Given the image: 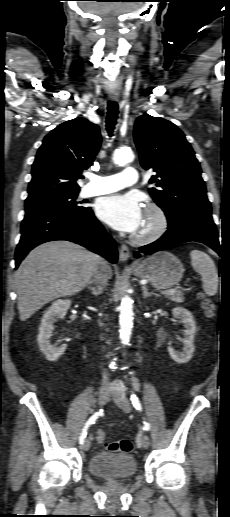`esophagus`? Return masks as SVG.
<instances>
[{
	"label": "esophagus",
	"mask_w": 230,
	"mask_h": 517,
	"mask_svg": "<svg viewBox=\"0 0 230 517\" xmlns=\"http://www.w3.org/2000/svg\"><path fill=\"white\" fill-rule=\"evenodd\" d=\"M118 97H119L118 94L110 95V99L112 101H117ZM129 257H130V252H129L128 247L126 245L122 244L120 247V250H119V260L121 262L125 263Z\"/></svg>",
	"instance_id": "obj_1"
}]
</instances>
